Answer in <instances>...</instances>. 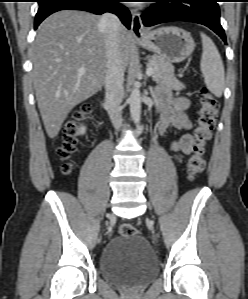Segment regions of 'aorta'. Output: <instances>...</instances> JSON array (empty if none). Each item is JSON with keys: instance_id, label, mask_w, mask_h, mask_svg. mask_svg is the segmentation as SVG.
<instances>
[{"instance_id": "aorta-1", "label": "aorta", "mask_w": 248, "mask_h": 299, "mask_svg": "<svg viewBox=\"0 0 248 299\" xmlns=\"http://www.w3.org/2000/svg\"><path fill=\"white\" fill-rule=\"evenodd\" d=\"M130 114L136 125L140 124L141 120V95L139 86L135 83L130 95Z\"/></svg>"}]
</instances>
